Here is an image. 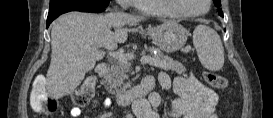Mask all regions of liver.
Listing matches in <instances>:
<instances>
[{"label":"liver","mask_w":273,"mask_h":118,"mask_svg":"<svg viewBox=\"0 0 273 118\" xmlns=\"http://www.w3.org/2000/svg\"><path fill=\"white\" fill-rule=\"evenodd\" d=\"M144 19L122 12L105 15L69 12L60 16L51 30L52 53L46 75L49 94L56 99L72 94L85 74L104 58L105 52L99 48H117L118 43L127 40L122 27L137 25Z\"/></svg>","instance_id":"liver-1"}]
</instances>
